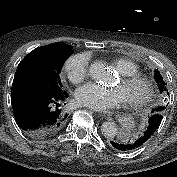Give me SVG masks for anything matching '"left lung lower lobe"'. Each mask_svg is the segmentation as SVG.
Here are the masks:
<instances>
[{"instance_id":"0a47b994","label":"left lung lower lobe","mask_w":177,"mask_h":177,"mask_svg":"<svg viewBox=\"0 0 177 177\" xmlns=\"http://www.w3.org/2000/svg\"><path fill=\"white\" fill-rule=\"evenodd\" d=\"M161 108L157 107L152 110V115L149 118L147 129L143 132V134L139 135L136 139H115L111 142L112 146L121 151H131L134 149L139 148L144 143L148 141V139L154 134V132L159 127L162 115H161Z\"/></svg>"}]
</instances>
